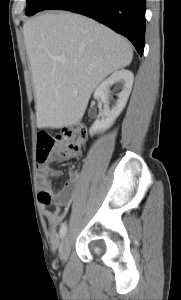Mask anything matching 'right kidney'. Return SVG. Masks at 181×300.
I'll list each match as a JSON object with an SVG mask.
<instances>
[{"label": "right kidney", "instance_id": "right-kidney-1", "mask_svg": "<svg viewBox=\"0 0 181 300\" xmlns=\"http://www.w3.org/2000/svg\"><path fill=\"white\" fill-rule=\"evenodd\" d=\"M133 81V73L129 70L122 69L114 72L110 77L105 79L97 87V89L94 92V98H103L104 108L100 114L101 118H98L89 130L91 136L98 132L105 131L106 129L112 126V124L121 114L127 103L133 86ZM114 83H118L122 87V91L118 94V100L116 102V105L110 109L108 95L110 92V86Z\"/></svg>", "mask_w": 181, "mask_h": 300}]
</instances>
